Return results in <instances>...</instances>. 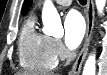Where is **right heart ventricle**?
Listing matches in <instances>:
<instances>
[{
    "instance_id": "right-heart-ventricle-1",
    "label": "right heart ventricle",
    "mask_w": 107,
    "mask_h": 75,
    "mask_svg": "<svg viewBox=\"0 0 107 75\" xmlns=\"http://www.w3.org/2000/svg\"><path fill=\"white\" fill-rule=\"evenodd\" d=\"M18 53L19 63L27 71L48 72L57 64L51 38L37 30L36 19L33 16L29 17L22 27Z\"/></svg>"
}]
</instances>
